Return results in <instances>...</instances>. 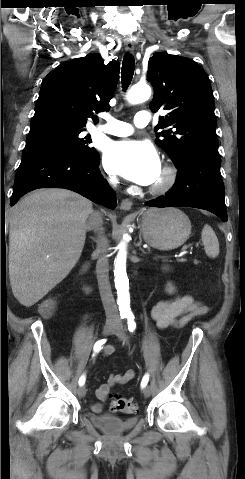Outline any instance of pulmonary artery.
<instances>
[{"label":"pulmonary artery","instance_id":"1","mask_svg":"<svg viewBox=\"0 0 245 479\" xmlns=\"http://www.w3.org/2000/svg\"><path fill=\"white\" fill-rule=\"evenodd\" d=\"M108 123L98 127L99 131L114 135L127 136L133 132V126L129 123L119 121L113 118H107ZM151 121V116L147 111H139L135 114L133 123L137 127H144Z\"/></svg>","mask_w":245,"mask_h":479}]
</instances>
